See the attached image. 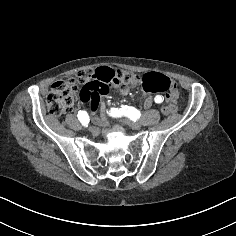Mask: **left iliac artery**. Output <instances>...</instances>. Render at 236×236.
Instances as JSON below:
<instances>
[{
  "instance_id": "obj_1",
  "label": "left iliac artery",
  "mask_w": 236,
  "mask_h": 236,
  "mask_svg": "<svg viewBox=\"0 0 236 236\" xmlns=\"http://www.w3.org/2000/svg\"><path fill=\"white\" fill-rule=\"evenodd\" d=\"M156 103H161L164 98H162V96L157 95L154 98ZM122 108L118 109V108H111L110 113L107 111V113L112 116V117H121L122 115L126 116L128 113V110L130 109L129 106H121ZM132 108V107H131Z\"/></svg>"
}]
</instances>
